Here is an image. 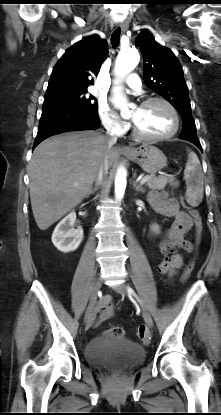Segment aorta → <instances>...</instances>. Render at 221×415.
I'll return each mask as SVG.
<instances>
[{"label":"aorta","instance_id":"762f6f07","mask_svg":"<svg viewBox=\"0 0 221 415\" xmlns=\"http://www.w3.org/2000/svg\"><path fill=\"white\" fill-rule=\"evenodd\" d=\"M139 61L140 55L137 50H128L119 53L115 65L116 74L120 77L127 75L135 69ZM114 102L121 108V110L127 108L126 100L120 87H116L114 89ZM126 184V170L124 168H119L115 176L116 200H121L123 198Z\"/></svg>","mask_w":221,"mask_h":415}]
</instances>
